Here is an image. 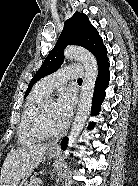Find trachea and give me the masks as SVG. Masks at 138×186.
<instances>
[{"label":"trachea","mask_w":138,"mask_h":186,"mask_svg":"<svg viewBox=\"0 0 138 186\" xmlns=\"http://www.w3.org/2000/svg\"><path fill=\"white\" fill-rule=\"evenodd\" d=\"M77 81H78V82H82V79H81V78H79Z\"/></svg>","instance_id":"1"}]
</instances>
